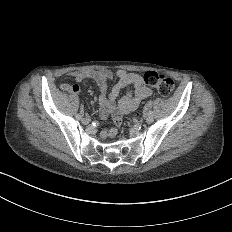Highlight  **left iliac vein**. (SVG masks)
<instances>
[{"label":"left iliac vein","instance_id":"1","mask_svg":"<svg viewBox=\"0 0 232 232\" xmlns=\"http://www.w3.org/2000/svg\"><path fill=\"white\" fill-rule=\"evenodd\" d=\"M147 123L148 124H153L154 123V118L153 117H148L147 118Z\"/></svg>","mask_w":232,"mask_h":232}]
</instances>
